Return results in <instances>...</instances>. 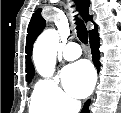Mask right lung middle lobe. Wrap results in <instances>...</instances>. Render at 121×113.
<instances>
[{
  "instance_id": "dd1d6c3e",
  "label": "right lung middle lobe",
  "mask_w": 121,
  "mask_h": 113,
  "mask_svg": "<svg viewBox=\"0 0 121 113\" xmlns=\"http://www.w3.org/2000/svg\"><path fill=\"white\" fill-rule=\"evenodd\" d=\"M32 80V77H29L27 78V82L31 81Z\"/></svg>"
}]
</instances>
